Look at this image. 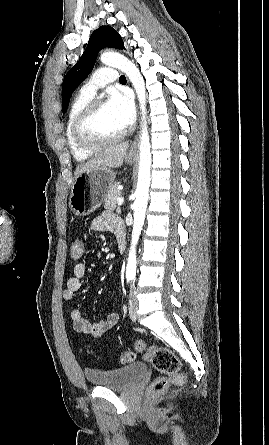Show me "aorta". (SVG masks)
Instances as JSON below:
<instances>
[{
  "mask_svg": "<svg viewBox=\"0 0 269 445\" xmlns=\"http://www.w3.org/2000/svg\"><path fill=\"white\" fill-rule=\"evenodd\" d=\"M103 64L118 68L124 72L131 81L140 105L142 114L141 118V135H140V155H139V171L137 188L135 191L134 223L132 231L131 246L126 266V276H135L136 274V245L138 243L142 227L144 224L146 208L149 198V187L151 181V144L146 122V89L142 75L137 66L127 59L125 56L106 52L100 57Z\"/></svg>",
  "mask_w": 269,
  "mask_h": 445,
  "instance_id": "obj_1",
  "label": "aorta"
}]
</instances>
